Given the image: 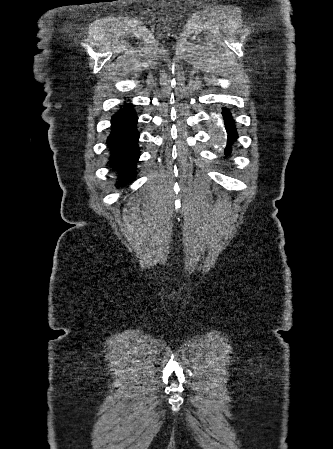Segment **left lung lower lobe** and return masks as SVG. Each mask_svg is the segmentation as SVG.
<instances>
[{
    "label": "left lung lower lobe",
    "mask_w": 333,
    "mask_h": 449,
    "mask_svg": "<svg viewBox=\"0 0 333 449\" xmlns=\"http://www.w3.org/2000/svg\"><path fill=\"white\" fill-rule=\"evenodd\" d=\"M222 115H223V118L225 121L226 130L228 132V146L225 149V154L229 155L231 152L230 145L233 144V142L237 139V131L235 128L234 120L232 119V115L229 112V110L226 108H223Z\"/></svg>",
    "instance_id": "1"
}]
</instances>
